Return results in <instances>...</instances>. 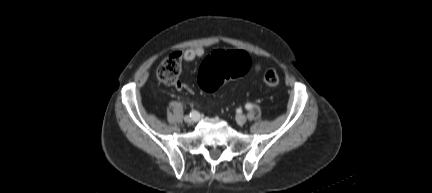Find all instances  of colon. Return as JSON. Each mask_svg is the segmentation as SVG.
<instances>
[{
    "instance_id": "colon-1",
    "label": "colon",
    "mask_w": 432,
    "mask_h": 193,
    "mask_svg": "<svg viewBox=\"0 0 432 193\" xmlns=\"http://www.w3.org/2000/svg\"><path fill=\"white\" fill-rule=\"evenodd\" d=\"M253 67L250 56L240 50H218L207 57L201 65L198 82L206 91L216 90L227 78L240 77L247 74ZM181 71V58L178 53H172L162 60L157 68L158 79L165 84H175ZM269 87L279 84V75L268 70L263 77Z\"/></svg>"
}]
</instances>
